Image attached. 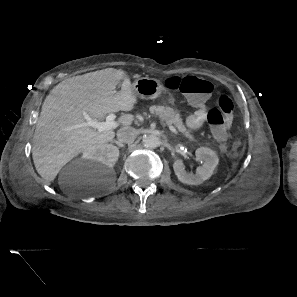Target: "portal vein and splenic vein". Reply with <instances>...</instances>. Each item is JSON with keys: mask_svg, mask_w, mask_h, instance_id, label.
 <instances>
[{"mask_svg": "<svg viewBox=\"0 0 297 297\" xmlns=\"http://www.w3.org/2000/svg\"><path fill=\"white\" fill-rule=\"evenodd\" d=\"M83 116L86 119V123L84 124V126H91L97 129L99 133L105 130L115 129L118 126V123L115 121L116 115L112 113L106 117L105 122H99L97 120H93L86 112H83ZM168 128L173 133L178 134V131L174 126L168 124Z\"/></svg>", "mask_w": 297, "mask_h": 297, "instance_id": "18ae733b", "label": "portal vein and splenic vein"}]
</instances>
